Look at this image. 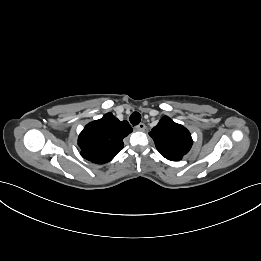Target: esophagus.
<instances>
[{
  "instance_id": "1",
  "label": "esophagus",
  "mask_w": 261,
  "mask_h": 261,
  "mask_svg": "<svg viewBox=\"0 0 261 261\" xmlns=\"http://www.w3.org/2000/svg\"><path fill=\"white\" fill-rule=\"evenodd\" d=\"M145 129H146V125L144 123H139L136 126V130H138V131H144Z\"/></svg>"
}]
</instances>
